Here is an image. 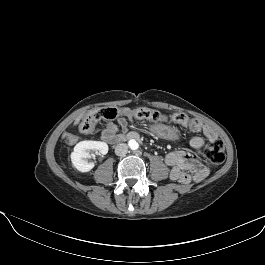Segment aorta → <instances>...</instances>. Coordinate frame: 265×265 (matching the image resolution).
Listing matches in <instances>:
<instances>
[{
	"label": "aorta",
	"mask_w": 265,
	"mask_h": 265,
	"mask_svg": "<svg viewBox=\"0 0 265 265\" xmlns=\"http://www.w3.org/2000/svg\"><path fill=\"white\" fill-rule=\"evenodd\" d=\"M128 145H129L130 149H132V150H136L139 147L138 142L134 139L129 140Z\"/></svg>",
	"instance_id": "762f6f07"
}]
</instances>
